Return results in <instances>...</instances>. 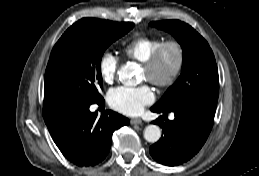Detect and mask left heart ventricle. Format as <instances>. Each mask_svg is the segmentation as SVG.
Instances as JSON below:
<instances>
[{
  "label": "left heart ventricle",
  "mask_w": 259,
  "mask_h": 176,
  "mask_svg": "<svg viewBox=\"0 0 259 176\" xmlns=\"http://www.w3.org/2000/svg\"><path fill=\"white\" fill-rule=\"evenodd\" d=\"M175 61H176L175 51L173 49H168L164 53L161 64H160L161 73L162 74L169 73L173 69V67L175 65ZM142 75H143L144 79L148 78V73L144 68L142 70Z\"/></svg>",
  "instance_id": "left-heart-ventricle-1"
}]
</instances>
